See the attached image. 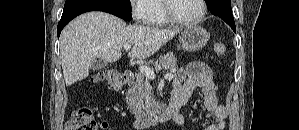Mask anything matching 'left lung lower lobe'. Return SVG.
Wrapping results in <instances>:
<instances>
[{"label":"left lung lower lobe","mask_w":299,"mask_h":130,"mask_svg":"<svg viewBox=\"0 0 299 130\" xmlns=\"http://www.w3.org/2000/svg\"><path fill=\"white\" fill-rule=\"evenodd\" d=\"M217 3H218V7L208 6V9L212 14H214L215 16H219L222 20H224L227 24H229L230 27L233 29V31L236 32L235 22H234L231 8H227L225 6L226 2H224V0H217Z\"/></svg>","instance_id":"obj_1"}]
</instances>
